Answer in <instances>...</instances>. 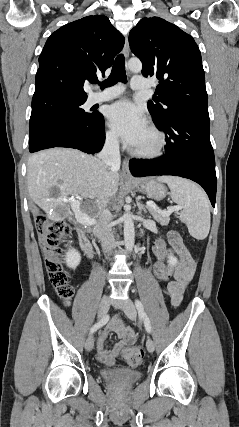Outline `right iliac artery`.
Returning <instances> with one entry per match:
<instances>
[{
    "instance_id": "1",
    "label": "right iliac artery",
    "mask_w": 239,
    "mask_h": 427,
    "mask_svg": "<svg viewBox=\"0 0 239 427\" xmlns=\"http://www.w3.org/2000/svg\"><path fill=\"white\" fill-rule=\"evenodd\" d=\"M109 320V315L104 316L98 323L94 324L92 326V328L90 329V333L95 332L96 330H98L100 327H102L103 325H105Z\"/></svg>"
}]
</instances>
